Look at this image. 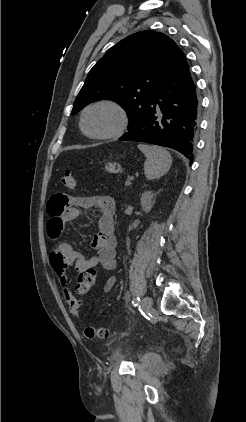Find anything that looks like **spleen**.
<instances>
[{"instance_id": "spleen-1", "label": "spleen", "mask_w": 246, "mask_h": 422, "mask_svg": "<svg viewBox=\"0 0 246 422\" xmlns=\"http://www.w3.org/2000/svg\"><path fill=\"white\" fill-rule=\"evenodd\" d=\"M138 148L144 153V173L147 179L160 178L167 173L172 164L171 154L163 147L139 144Z\"/></svg>"}]
</instances>
